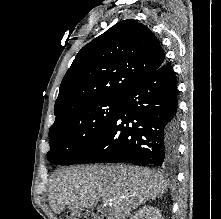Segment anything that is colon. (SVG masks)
I'll list each match as a JSON object with an SVG mask.
<instances>
[{
    "instance_id": "colon-1",
    "label": "colon",
    "mask_w": 221,
    "mask_h": 219,
    "mask_svg": "<svg viewBox=\"0 0 221 219\" xmlns=\"http://www.w3.org/2000/svg\"><path fill=\"white\" fill-rule=\"evenodd\" d=\"M68 219H99L97 215L85 211V210H78L72 211L68 215Z\"/></svg>"
}]
</instances>
